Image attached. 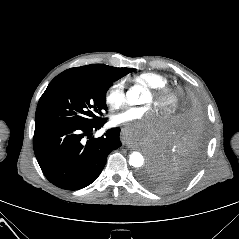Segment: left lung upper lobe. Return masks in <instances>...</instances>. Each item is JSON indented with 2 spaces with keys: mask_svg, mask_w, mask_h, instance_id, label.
Returning a JSON list of instances; mask_svg holds the SVG:
<instances>
[{
  "mask_svg": "<svg viewBox=\"0 0 239 239\" xmlns=\"http://www.w3.org/2000/svg\"><path fill=\"white\" fill-rule=\"evenodd\" d=\"M183 96H198V95L193 89L186 88L183 91ZM141 180L149 188L157 191H165L168 188L167 183H165V180L160 176H158L156 173L149 171V169H147V171L143 173V175L141 176Z\"/></svg>",
  "mask_w": 239,
  "mask_h": 239,
  "instance_id": "5c2ea615",
  "label": "left lung upper lobe"
}]
</instances>
